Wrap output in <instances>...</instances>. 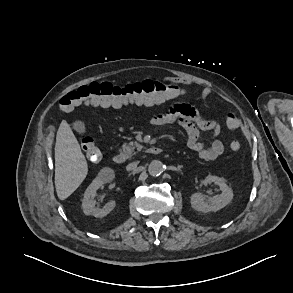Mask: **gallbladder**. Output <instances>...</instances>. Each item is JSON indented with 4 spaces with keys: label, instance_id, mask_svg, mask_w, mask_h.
<instances>
[{
    "label": "gallbladder",
    "instance_id": "obj_1",
    "mask_svg": "<svg viewBox=\"0 0 293 293\" xmlns=\"http://www.w3.org/2000/svg\"><path fill=\"white\" fill-rule=\"evenodd\" d=\"M73 129L78 132L79 134L85 133L86 131V126L85 123L81 120H77L73 122Z\"/></svg>",
    "mask_w": 293,
    "mask_h": 293
}]
</instances>
